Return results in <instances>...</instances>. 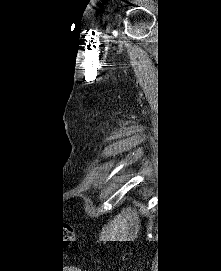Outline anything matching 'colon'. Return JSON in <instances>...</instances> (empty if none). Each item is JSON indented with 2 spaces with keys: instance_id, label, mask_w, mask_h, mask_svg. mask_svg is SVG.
Here are the masks:
<instances>
[{
  "instance_id": "5ec220e1",
  "label": "colon",
  "mask_w": 221,
  "mask_h": 271,
  "mask_svg": "<svg viewBox=\"0 0 221 271\" xmlns=\"http://www.w3.org/2000/svg\"><path fill=\"white\" fill-rule=\"evenodd\" d=\"M73 239V232L69 228H65L60 233V241L69 243Z\"/></svg>"
}]
</instances>
